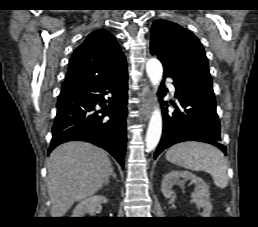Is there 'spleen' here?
I'll list each match as a JSON object with an SVG mask.
<instances>
[{
	"label": "spleen",
	"instance_id": "spleen-1",
	"mask_svg": "<svg viewBox=\"0 0 258 227\" xmlns=\"http://www.w3.org/2000/svg\"><path fill=\"white\" fill-rule=\"evenodd\" d=\"M166 160L192 171L209 173L215 185L226 188L228 185L227 161L223 153L209 144L182 142L168 149Z\"/></svg>",
	"mask_w": 258,
	"mask_h": 227
}]
</instances>
